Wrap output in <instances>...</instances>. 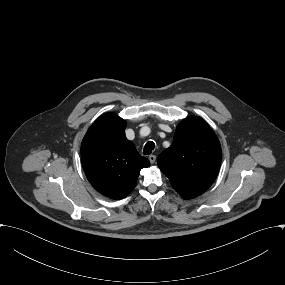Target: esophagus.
I'll use <instances>...</instances> for the list:
<instances>
[{"instance_id":"1","label":"esophagus","mask_w":285,"mask_h":285,"mask_svg":"<svg viewBox=\"0 0 285 285\" xmlns=\"http://www.w3.org/2000/svg\"><path fill=\"white\" fill-rule=\"evenodd\" d=\"M155 160H156V156L155 155H150L149 156V161H150L151 164H153L155 162Z\"/></svg>"}]
</instances>
